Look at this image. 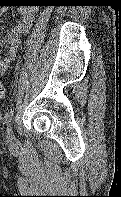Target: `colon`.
Masks as SVG:
<instances>
[{"instance_id":"obj_1","label":"colon","mask_w":121,"mask_h":197,"mask_svg":"<svg viewBox=\"0 0 121 197\" xmlns=\"http://www.w3.org/2000/svg\"><path fill=\"white\" fill-rule=\"evenodd\" d=\"M5 97H6L5 88L2 82L0 81V99H5Z\"/></svg>"}]
</instances>
